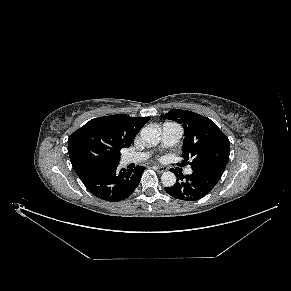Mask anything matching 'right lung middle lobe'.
<instances>
[{"mask_svg": "<svg viewBox=\"0 0 291 291\" xmlns=\"http://www.w3.org/2000/svg\"><path fill=\"white\" fill-rule=\"evenodd\" d=\"M119 159H117L116 161L118 162ZM95 161H108V159H107V156L105 154H98L97 160H95Z\"/></svg>", "mask_w": 291, "mask_h": 291, "instance_id": "obj_1", "label": "right lung middle lobe"}]
</instances>
